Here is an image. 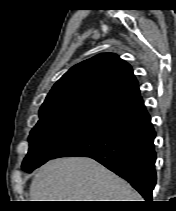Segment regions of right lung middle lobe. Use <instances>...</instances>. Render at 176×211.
<instances>
[{
  "instance_id": "obj_1",
  "label": "right lung middle lobe",
  "mask_w": 176,
  "mask_h": 211,
  "mask_svg": "<svg viewBox=\"0 0 176 211\" xmlns=\"http://www.w3.org/2000/svg\"><path fill=\"white\" fill-rule=\"evenodd\" d=\"M99 122L64 113L40 115L38 123L30 132L29 151L22 169L31 172Z\"/></svg>"
}]
</instances>
